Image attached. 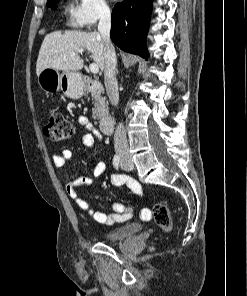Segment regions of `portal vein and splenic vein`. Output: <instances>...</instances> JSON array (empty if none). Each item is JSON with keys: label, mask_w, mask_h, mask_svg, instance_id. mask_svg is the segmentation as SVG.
I'll list each match as a JSON object with an SVG mask.
<instances>
[{"label": "portal vein and splenic vein", "mask_w": 247, "mask_h": 296, "mask_svg": "<svg viewBox=\"0 0 247 296\" xmlns=\"http://www.w3.org/2000/svg\"><path fill=\"white\" fill-rule=\"evenodd\" d=\"M89 68H90V71L93 73V74H97L99 72V67L96 63H92L89 65Z\"/></svg>", "instance_id": "1"}]
</instances>
